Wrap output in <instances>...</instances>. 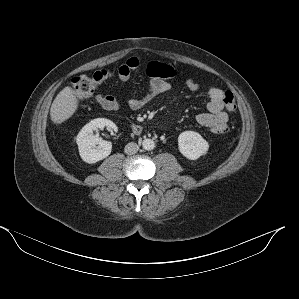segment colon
Returning <instances> with one entry per match:
<instances>
[{
    "label": "colon",
    "mask_w": 299,
    "mask_h": 299,
    "mask_svg": "<svg viewBox=\"0 0 299 299\" xmlns=\"http://www.w3.org/2000/svg\"><path fill=\"white\" fill-rule=\"evenodd\" d=\"M110 72L100 71L92 75H79L72 79V90L75 98L82 102L88 99L101 85ZM226 109L230 112L236 110V101L233 93L226 92L223 99Z\"/></svg>",
    "instance_id": "5ec220e1"
}]
</instances>
